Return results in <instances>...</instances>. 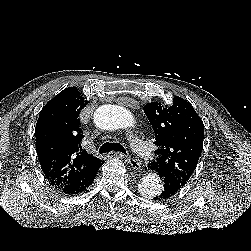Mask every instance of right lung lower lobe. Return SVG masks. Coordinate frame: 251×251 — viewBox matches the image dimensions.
Here are the masks:
<instances>
[{
  "label": "right lung lower lobe",
  "mask_w": 251,
  "mask_h": 251,
  "mask_svg": "<svg viewBox=\"0 0 251 251\" xmlns=\"http://www.w3.org/2000/svg\"><path fill=\"white\" fill-rule=\"evenodd\" d=\"M97 171L89 175L88 177L82 179L78 182H73L70 184L62 185V186H54L58 191L67 195L78 194L84 191L94 180Z\"/></svg>",
  "instance_id": "right-lung-lower-lobe-1"
}]
</instances>
